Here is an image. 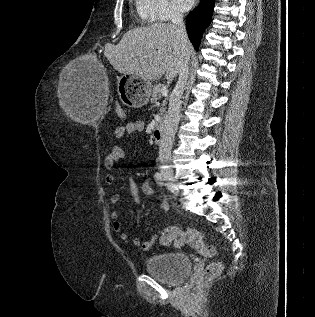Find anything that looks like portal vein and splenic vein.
I'll return each instance as SVG.
<instances>
[{
    "mask_svg": "<svg viewBox=\"0 0 315 317\" xmlns=\"http://www.w3.org/2000/svg\"><path fill=\"white\" fill-rule=\"evenodd\" d=\"M161 94L165 97L168 95V90L166 87L162 89Z\"/></svg>",
    "mask_w": 315,
    "mask_h": 317,
    "instance_id": "18ae733b",
    "label": "portal vein and splenic vein"
}]
</instances>
